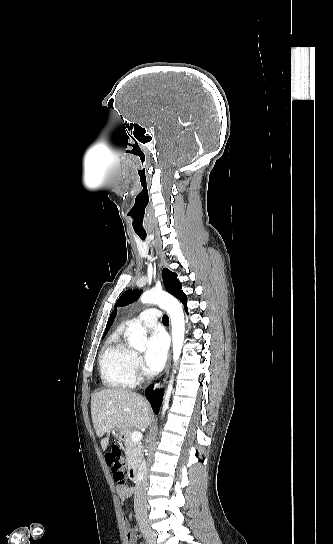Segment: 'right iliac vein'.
<instances>
[{
	"instance_id": "63e3f726",
	"label": "right iliac vein",
	"mask_w": 333,
	"mask_h": 544,
	"mask_svg": "<svg viewBox=\"0 0 333 544\" xmlns=\"http://www.w3.org/2000/svg\"><path fill=\"white\" fill-rule=\"evenodd\" d=\"M140 530L148 544H156L155 534L146 523H140Z\"/></svg>"
}]
</instances>
